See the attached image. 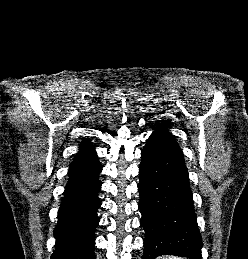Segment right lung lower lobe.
<instances>
[{"mask_svg":"<svg viewBox=\"0 0 248 259\" xmlns=\"http://www.w3.org/2000/svg\"><path fill=\"white\" fill-rule=\"evenodd\" d=\"M101 170L96 153L70 164L54 229L56 244L51 259H95L94 229L99 222L101 184L98 175Z\"/></svg>","mask_w":248,"mask_h":259,"instance_id":"obj_1","label":"right lung lower lobe"}]
</instances>
